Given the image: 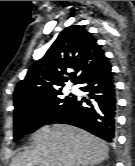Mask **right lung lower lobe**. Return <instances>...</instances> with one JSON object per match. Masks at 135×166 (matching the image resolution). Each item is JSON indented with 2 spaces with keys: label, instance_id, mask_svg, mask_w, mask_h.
I'll return each instance as SVG.
<instances>
[{
  "label": "right lung lower lobe",
  "instance_id": "obj_1",
  "mask_svg": "<svg viewBox=\"0 0 135 166\" xmlns=\"http://www.w3.org/2000/svg\"><path fill=\"white\" fill-rule=\"evenodd\" d=\"M77 84L85 85L80 89L89 92L93 101L77 100L74 97L72 104L52 123L77 126L112 142L115 138L117 106L113 73L108 59L85 74ZM83 102H86L87 106H83Z\"/></svg>",
  "mask_w": 135,
  "mask_h": 166
}]
</instances>
